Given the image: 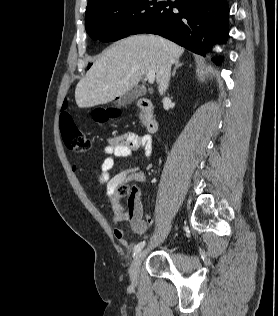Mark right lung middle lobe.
Instances as JSON below:
<instances>
[{
    "label": "right lung middle lobe",
    "instance_id": "dd1d6c3e",
    "mask_svg": "<svg viewBox=\"0 0 278 316\" xmlns=\"http://www.w3.org/2000/svg\"><path fill=\"white\" fill-rule=\"evenodd\" d=\"M158 0H110L86 11V31L111 42L131 35L158 10Z\"/></svg>",
    "mask_w": 278,
    "mask_h": 316
}]
</instances>
